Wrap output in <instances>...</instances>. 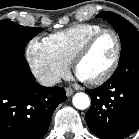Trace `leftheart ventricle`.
<instances>
[{
  "mask_svg": "<svg viewBox=\"0 0 139 139\" xmlns=\"http://www.w3.org/2000/svg\"><path fill=\"white\" fill-rule=\"evenodd\" d=\"M115 40L111 34L101 36L80 60L77 73L86 80L100 77L110 66L115 54Z\"/></svg>",
  "mask_w": 139,
  "mask_h": 139,
  "instance_id": "obj_1",
  "label": "left heart ventricle"
}]
</instances>
